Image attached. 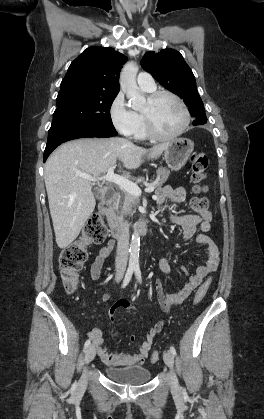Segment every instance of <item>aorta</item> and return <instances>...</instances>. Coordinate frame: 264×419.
Segmentation results:
<instances>
[{"mask_svg":"<svg viewBox=\"0 0 264 419\" xmlns=\"http://www.w3.org/2000/svg\"><path fill=\"white\" fill-rule=\"evenodd\" d=\"M137 72L138 66L136 63L128 62L124 65L120 74V87L122 91L126 93L133 109H139L146 102L145 97L138 91L136 83ZM139 251L140 236L138 231L134 230L130 244L129 266L131 268L139 267Z\"/></svg>","mask_w":264,"mask_h":419,"instance_id":"1","label":"aorta"}]
</instances>
